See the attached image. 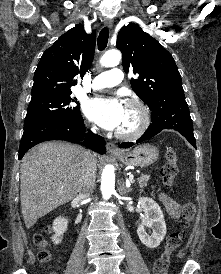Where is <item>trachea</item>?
<instances>
[{
  "instance_id": "3493384b",
  "label": "trachea",
  "mask_w": 221,
  "mask_h": 274,
  "mask_svg": "<svg viewBox=\"0 0 221 274\" xmlns=\"http://www.w3.org/2000/svg\"><path fill=\"white\" fill-rule=\"evenodd\" d=\"M108 38H109V30L108 28L105 27L100 31L98 36L97 44H98V49L100 51L106 48L108 43Z\"/></svg>"
}]
</instances>
